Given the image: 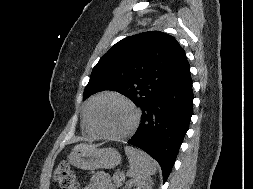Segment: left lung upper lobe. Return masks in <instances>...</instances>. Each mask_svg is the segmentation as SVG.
Returning a JSON list of instances; mask_svg holds the SVG:
<instances>
[{
  "instance_id": "5c2ea615",
  "label": "left lung upper lobe",
  "mask_w": 253,
  "mask_h": 189,
  "mask_svg": "<svg viewBox=\"0 0 253 189\" xmlns=\"http://www.w3.org/2000/svg\"><path fill=\"white\" fill-rule=\"evenodd\" d=\"M176 39L160 31L116 43L93 68L83 99L102 90L117 91L142 108L186 62Z\"/></svg>"
}]
</instances>
